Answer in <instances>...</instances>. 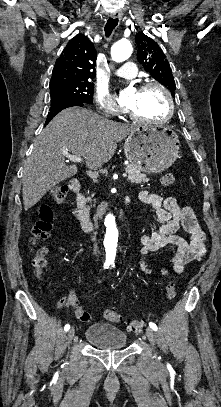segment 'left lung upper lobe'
Returning a JSON list of instances; mask_svg holds the SVG:
<instances>
[{"label":"left lung upper lobe","mask_w":221,"mask_h":407,"mask_svg":"<svg viewBox=\"0 0 221 407\" xmlns=\"http://www.w3.org/2000/svg\"><path fill=\"white\" fill-rule=\"evenodd\" d=\"M137 60L144 69L161 84L166 86L175 95V81L172 76L169 62L159 45L143 33H137L135 37Z\"/></svg>","instance_id":"left-lung-upper-lobe-1"}]
</instances>
